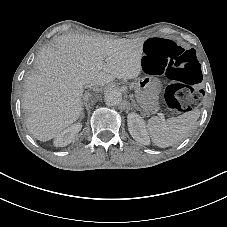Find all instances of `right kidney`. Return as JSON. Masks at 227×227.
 <instances>
[{
	"label": "right kidney",
	"mask_w": 227,
	"mask_h": 227,
	"mask_svg": "<svg viewBox=\"0 0 227 227\" xmlns=\"http://www.w3.org/2000/svg\"><path fill=\"white\" fill-rule=\"evenodd\" d=\"M81 130V124H75L61 132L55 139V146H66L74 140L75 136Z\"/></svg>",
	"instance_id": "obj_1"
}]
</instances>
